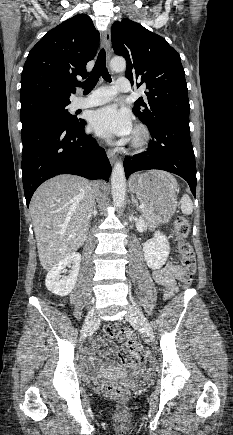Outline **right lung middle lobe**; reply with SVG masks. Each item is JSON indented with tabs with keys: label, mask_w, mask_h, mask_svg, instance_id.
Segmentation results:
<instances>
[{
	"label": "right lung middle lobe",
	"mask_w": 233,
	"mask_h": 435,
	"mask_svg": "<svg viewBox=\"0 0 233 435\" xmlns=\"http://www.w3.org/2000/svg\"><path fill=\"white\" fill-rule=\"evenodd\" d=\"M66 106L67 105L49 107L21 116V132H25L49 122H57L68 125L77 124L79 119L72 116L66 109Z\"/></svg>",
	"instance_id": "1"
}]
</instances>
